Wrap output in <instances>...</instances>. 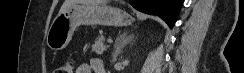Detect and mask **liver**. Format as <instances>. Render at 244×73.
I'll return each mask as SVG.
<instances>
[{"label":"liver","instance_id":"liver-1","mask_svg":"<svg viewBox=\"0 0 244 73\" xmlns=\"http://www.w3.org/2000/svg\"><path fill=\"white\" fill-rule=\"evenodd\" d=\"M75 3L99 4L100 2L98 0H65L63 5L61 6L59 13H62L68 6L75 4Z\"/></svg>","mask_w":244,"mask_h":73}]
</instances>
